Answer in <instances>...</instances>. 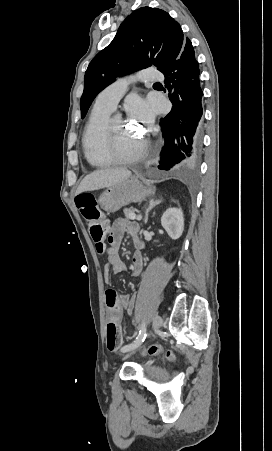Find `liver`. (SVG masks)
Wrapping results in <instances>:
<instances>
[{
    "label": "liver",
    "mask_w": 272,
    "mask_h": 451,
    "mask_svg": "<svg viewBox=\"0 0 272 451\" xmlns=\"http://www.w3.org/2000/svg\"><path fill=\"white\" fill-rule=\"evenodd\" d=\"M131 172L127 168H105V170H95L83 178L78 186L75 196L87 190H100V188H109L113 184H118L126 178H130Z\"/></svg>",
    "instance_id": "obj_1"
}]
</instances>
